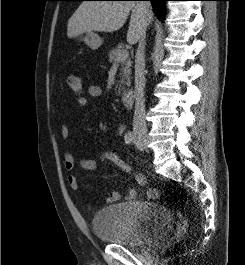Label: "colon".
<instances>
[{"label":"colon","mask_w":245,"mask_h":265,"mask_svg":"<svg viewBox=\"0 0 245 265\" xmlns=\"http://www.w3.org/2000/svg\"><path fill=\"white\" fill-rule=\"evenodd\" d=\"M67 83L70 91L76 96V101H80L85 96L83 95V83L80 77L76 75H70L67 78ZM100 158L106 160L113 165L120 168L122 171L129 173L131 171L130 167L123 161L115 152L113 151H102L100 153Z\"/></svg>","instance_id":"obj_1"}]
</instances>
